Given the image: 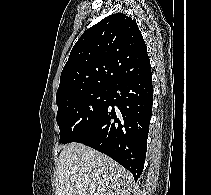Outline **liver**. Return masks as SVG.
Listing matches in <instances>:
<instances>
[{
  "instance_id": "obj_1",
  "label": "liver",
  "mask_w": 211,
  "mask_h": 195,
  "mask_svg": "<svg viewBox=\"0 0 211 195\" xmlns=\"http://www.w3.org/2000/svg\"><path fill=\"white\" fill-rule=\"evenodd\" d=\"M55 195H130L133 177L109 156L81 143L63 146Z\"/></svg>"
}]
</instances>
